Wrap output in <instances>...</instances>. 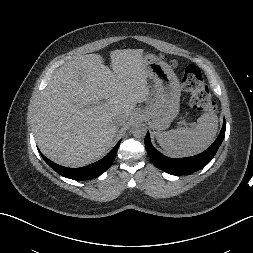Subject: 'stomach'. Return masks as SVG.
<instances>
[{
	"label": "stomach",
	"instance_id": "stomach-1",
	"mask_svg": "<svg viewBox=\"0 0 253 253\" xmlns=\"http://www.w3.org/2000/svg\"><path fill=\"white\" fill-rule=\"evenodd\" d=\"M143 58L146 75L155 83L156 90V101L145 113L156 130H165L179 113L181 85L173 69L165 61L152 54Z\"/></svg>",
	"mask_w": 253,
	"mask_h": 253
}]
</instances>
